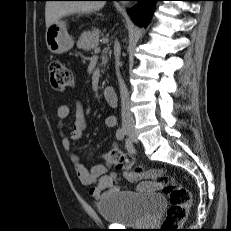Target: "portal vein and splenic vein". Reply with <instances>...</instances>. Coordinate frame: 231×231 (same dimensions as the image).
I'll return each mask as SVG.
<instances>
[{
	"label": "portal vein and splenic vein",
	"instance_id": "portal-vein-and-splenic-vein-1",
	"mask_svg": "<svg viewBox=\"0 0 231 231\" xmlns=\"http://www.w3.org/2000/svg\"><path fill=\"white\" fill-rule=\"evenodd\" d=\"M100 51L99 48H95V52L98 53Z\"/></svg>",
	"mask_w": 231,
	"mask_h": 231
}]
</instances>
